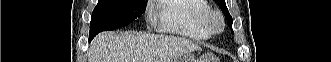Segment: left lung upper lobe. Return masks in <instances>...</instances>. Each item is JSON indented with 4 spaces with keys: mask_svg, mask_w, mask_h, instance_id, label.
I'll list each match as a JSON object with an SVG mask.
<instances>
[{
    "mask_svg": "<svg viewBox=\"0 0 331 62\" xmlns=\"http://www.w3.org/2000/svg\"><path fill=\"white\" fill-rule=\"evenodd\" d=\"M217 2V4L219 5V7L221 8L222 12L224 13L227 21H228V25L229 27L232 26V17L231 15L229 14V11L226 7V4H225V0H215Z\"/></svg>",
    "mask_w": 331,
    "mask_h": 62,
    "instance_id": "left-lung-upper-lobe-1",
    "label": "left lung upper lobe"
}]
</instances>
